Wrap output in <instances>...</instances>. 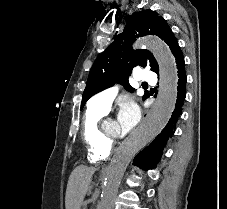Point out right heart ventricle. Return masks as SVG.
Listing matches in <instances>:
<instances>
[{
	"label": "right heart ventricle",
	"instance_id": "obj_1",
	"mask_svg": "<svg viewBox=\"0 0 227 209\" xmlns=\"http://www.w3.org/2000/svg\"><path fill=\"white\" fill-rule=\"evenodd\" d=\"M108 109L91 106L84 114L80 134L86 144L87 159L90 163L101 165L111 156L112 147L105 144L99 136V123Z\"/></svg>",
	"mask_w": 227,
	"mask_h": 209
}]
</instances>
